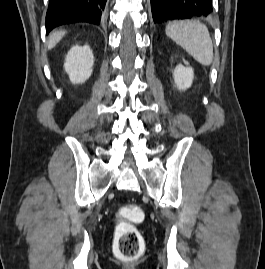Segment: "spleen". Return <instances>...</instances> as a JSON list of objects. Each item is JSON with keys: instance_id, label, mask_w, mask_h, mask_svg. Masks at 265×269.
<instances>
[{"instance_id": "obj_1", "label": "spleen", "mask_w": 265, "mask_h": 269, "mask_svg": "<svg viewBox=\"0 0 265 269\" xmlns=\"http://www.w3.org/2000/svg\"><path fill=\"white\" fill-rule=\"evenodd\" d=\"M166 35L196 61L209 66L213 61V43L205 25L197 21H174L166 25Z\"/></svg>"}]
</instances>
